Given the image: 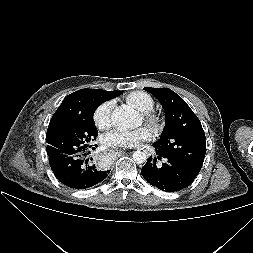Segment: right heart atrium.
Here are the masks:
<instances>
[{"mask_svg": "<svg viewBox=\"0 0 253 253\" xmlns=\"http://www.w3.org/2000/svg\"><path fill=\"white\" fill-rule=\"evenodd\" d=\"M113 106V101H105L95 109L93 120L99 129H105L110 126Z\"/></svg>", "mask_w": 253, "mask_h": 253, "instance_id": "d8ad5b80", "label": "right heart atrium"}]
</instances>
